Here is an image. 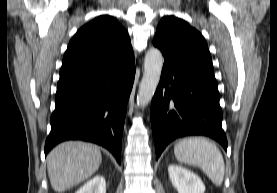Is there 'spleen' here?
Returning <instances> with one entry per match:
<instances>
[{"label": "spleen", "instance_id": "obj_1", "mask_svg": "<svg viewBox=\"0 0 277 193\" xmlns=\"http://www.w3.org/2000/svg\"><path fill=\"white\" fill-rule=\"evenodd\" d=\"M174 154L179 162L201 168L216 186L222 185L225 174L223 156L206 138H184L174 146Z\"/></svg>", "mask_w": 277, "mask_h": 193}]
</instances>
